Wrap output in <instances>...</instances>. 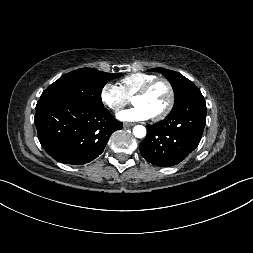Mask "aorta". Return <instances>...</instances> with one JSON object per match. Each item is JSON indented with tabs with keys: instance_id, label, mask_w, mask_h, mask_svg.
I'll return each instance as SVG.
<instances>
[{
	"instance_id": "aorta-1",
	"label": "aorta",
	"mask_w": 253,
	"mask_h": 253,
	"mask_svg": "<svg viewBox=\"0 0 253 253\" xmlns=\"http://www.w3.org/2000/svg\"><path fill=\"white\" fill-rule=\"evenodd\" d=\"M133 134L137 138H143L146 136V128L142 125H136L133 128Z\"/></svg>"
}]
</instances>
